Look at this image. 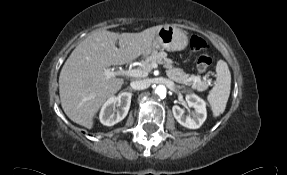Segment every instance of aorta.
Listing matches in <instances>:
<instances>
[{
	"label": "aorta",
	"mask_w": 287,
	"mask_h": 175,
	"mask_svg": "<svg viewBox=\"0 0 287 175\" xmlns=\"http://www.w3.org/2000/svg\"><path fill=\"white\" fill-rule=\"evenodd\" d=\"M155 94H157L159 97L164 98L166 97L167 89L164 85H158L155 90Z\"/></svg>",
	"instance_id": "obj_1"
}]
</instances>
